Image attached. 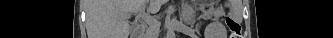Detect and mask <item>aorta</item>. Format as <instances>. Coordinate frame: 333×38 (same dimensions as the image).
Masks as SVG:
<instances>
[{
    "mask_svg": "<svg viewBox=\"0 0 333 38\" xmlns=\"http://www.w3.org/2000/svg\"><path fill=\"white\" fill-rule=\"evenodd\" d=\"M166 38H175V30L172 26H168Z\"/></svg>",
    "mask_w": 333,
    "mask_h": 38,
    "instance_id": "1",
    "label": "aorta"
}]
</instances>
